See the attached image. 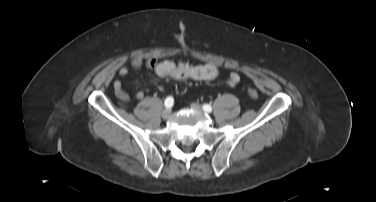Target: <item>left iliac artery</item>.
<instances>
[{
	"instance_id": "1",
	"label": "left iliac artery",
	"mask_w": 376,
	"mask_h": 202,
	"mask_svg": "<svg viewBox=\"0 0 376 202\" xmlns=\"http://www.w3.org/2000/svg\"><path fill=\"white\" fill-rule=\"evenodd\" d=\"M202 107H203V110L205 112H211L212 111V107L209 104H204Z\"/></svg>"
}]
</instances>
